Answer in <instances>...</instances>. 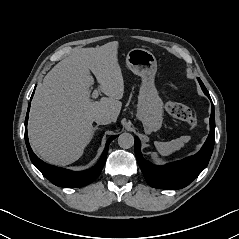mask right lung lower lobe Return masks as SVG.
I'll return each instance as SVG.
<instances>
[{
	"instance_id": "right-lung-lower-lobe-1",
	"label": "right lung lower lobe",
	"mask_w": 239,
	"mask_h": 239,
	"mask_svg": "<svg viewBox=\"0 0 239 239\" xmlns=\"http://www.w3.org/2000/svg\"><path fill=\"white\" fill-rule=\"evenodd\" d=\"M34 94V92H33ZM32 94V96H33ZM31 96V98H32ZM30 109V103L28 106V111L26 115L25 120V142L28 149V153L30 156V159L32 163L39 169V171L53 184L59 187H66V188H72V187H83L85 185L90 184L93 182L99 175L100 172L105 164L107 153H108V147L110 142L116 138L117 136L110 137L107 142L105 149L97 162L95 166L92 168L80 171V172H74L71 170L55 167L49 164L44 163L42 160H40L32 151L29 141H28V135H27V122H28V114Z\"/></svg>"
}]
</instances>
